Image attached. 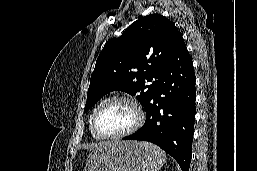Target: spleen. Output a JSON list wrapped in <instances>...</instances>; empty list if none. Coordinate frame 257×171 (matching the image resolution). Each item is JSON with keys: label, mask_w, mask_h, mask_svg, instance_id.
<instances>
[{"label": "spleen", "mask_w": 257, "mask_h": 171, "mask_svg": "<svg viewBox=\"0 0 257 171\" xmlns=\"http://www.w3.org/2000/svg\"><path fill=\"white\" fill-rule=\"evenodd\" d=\"M141 145L148 152V167L146 171H158L166 162V154L151 143L142 142Z\"/></svg>", "instance_id": "1"}]
</instances>
